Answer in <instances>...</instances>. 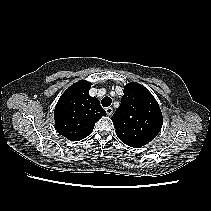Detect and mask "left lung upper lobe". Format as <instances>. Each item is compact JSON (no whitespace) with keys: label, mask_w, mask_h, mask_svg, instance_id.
I'll return each instance as SVG.
<instances>
[{"label":"left lung upper lobe","mask_w":211,"mask_h":211,"mask_svg":"<svg viewBox=\"0 0 211 211\" xmlns=\"http://www.w3.org/2000/svg\"><path fill=\"white\" fill-rule=\"evenodd\" d=\"M111 119L118 138L133 148L149 143L163 124L157 101L147 88L136 82L126 84L121 104Z\"/></svg>","instance_id":"obj_1"}]
</instances>
